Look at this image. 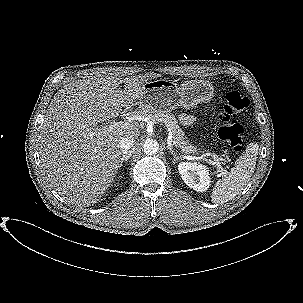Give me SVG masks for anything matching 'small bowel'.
I'll use <instances>...</instances> for the list:
<instances>
[{
	"label": "small bowel",
	"mask_w": 303,
	"mask_h": 303,
	"mask_svg": "<svg viewBox=\"0 0 303 303\" xmlns=\"http://www.w3.org/2000/svg\"><path fill=\"white\" fill-rule=\"evenodd\" d=\"M179 121L183 125H190L194 122V117L192 115L183 113L179 116Z\"/></svg>",
	"instance_id": "small-bowel-1"
}]
</instances>
